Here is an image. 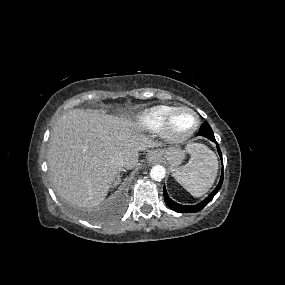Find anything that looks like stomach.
Instances as JSON below:
<instances>
[{
    "instance_id": "1",
    "label": "stomach",
    "mask_w": 285,
    "mask_h": 285,
    "mask_svg": "<svg viewBox=\"0 0 285 285\" xmlns=\"http://www.w3.org/2000/svg\"><path fill=\"white\" fill-rule=\"evenodd\" d=\"M158 156L165 159L173 169L181 164L185 157V152L180 150L178 147H171L165 150H160L158 152Z\"/></svg>"
}]
</instances>
